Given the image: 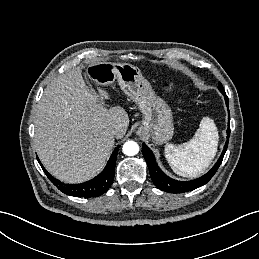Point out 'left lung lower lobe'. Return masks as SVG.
Returning <instances> with one entry per match:
<instances>
[{
  "label": "left lung lower lobe",
  "instance_id": "0a47b994",
  "mask_svg": "<svg viewBox=\"0 0 259 259\" xmlns=\"http://www.w3.org/2000/svg\"><path fill=\"white\" fill-rule=\"evenodd\" d=\"M222 94L225 97L226 105L228 108V97H227L226 93H222ZM228 122L229 123H228V129H227V141L225 143V146H224V149L222 151L220 158L218 159V161L216 162L214 167L207 174H205L204 176H202L200 178L194 179V180L177 181V180H174V179L168 177L165 173H163L159 169L152 151L146 146V144H143L142 153L147 162L150 176H151L153 183L159 189L170 192V193L188 192V191H192V190L199 188V187L203 186L204 184H206L216 173L217 169L219 168V166L223 160L224 154L227 150L228 140H229V135H230V117H229Z\"/></svg>",
  "mask_w": 259,
  "mask_h": 259
}]
</instances>
